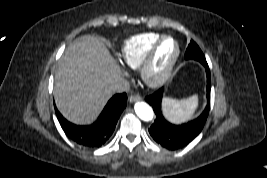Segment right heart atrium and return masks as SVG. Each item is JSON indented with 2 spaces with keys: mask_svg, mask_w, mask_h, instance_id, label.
I'll return each instance as SVG.
<instances>
[{
  "mask_svg": "<svg viewBox=\"0 0 267 178\" xmlns=\"http://www.w3.org/2000/svg\"><path fill=\"white\" fill-rule=\"evenodd\" d=\"M124 75H125V76H127V75H128V73L125 71V72H124Z\"/></svg>",
  "mask_w": 267,
  "mask_h": 178,
  "instance_id": "obj_1",
  "label": "right heart atrium"
}]
</instances>
